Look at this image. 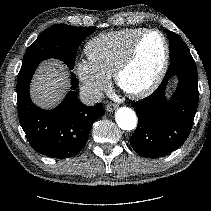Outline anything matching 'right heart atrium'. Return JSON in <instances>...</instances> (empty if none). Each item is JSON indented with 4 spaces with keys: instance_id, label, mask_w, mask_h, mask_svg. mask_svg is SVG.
I'll return each instance as SVG.
<instances>
[{
    "instance_id": "1",
    "label": "right heart atrium",
    "mask_w": 211,
    "mask_h": 211,
    "mask_svg": "<svg viewBox=\"0 0 211 211\" xmlns=\"http://www.w3.org/2000/svg\"><path fill=\"white\" fill-rule=\"evenodd\" d=\"M75 72L81 82L82 90L89 99H97L107 88L109 78L101 73L88 59H80Z\"/></svg>"
}]
</instances>
